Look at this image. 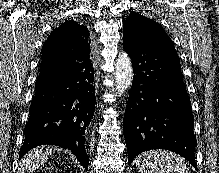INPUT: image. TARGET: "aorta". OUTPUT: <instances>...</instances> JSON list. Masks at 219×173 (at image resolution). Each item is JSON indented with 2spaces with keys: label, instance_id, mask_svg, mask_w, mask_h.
<instances>
[{
  "label": "aorta",
  "instance_id": "762f6f07",
  "mask_svg": "<svg viewBox=\"0 0 219 173\" xmlns=\"http://www.w3.org/2000/svg\"><path fill=\"white\" fill-rule=\"evenodd\" d=\"M133 69L131 59L127 53L122 52L118 55L115 63V83L116 91L123 95L132 85Z\"/></svg>",
  "mask_w": 219,
  "mask_h": 173
}]
</instances>
